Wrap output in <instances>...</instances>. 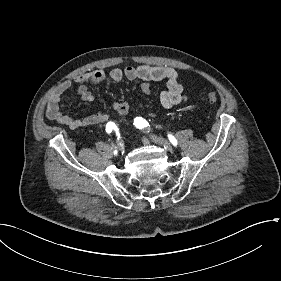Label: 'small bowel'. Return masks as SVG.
Here are the masks:
<instances>
[{"label": "small bowel", "instance_id": "c3829d8e", "mask_svg": "<svg viewBox=\"0 0 281 281\" xmlns=\"http://www.w3.org/2000/svg\"><path fill=\"white\" fill-rule=\"evenodd\" d=\"M106 77H109L115 82H120L123 79H139L142 81L141 90L145 94L151 92V82L165 80L167 90L161 94L160 103L166 109H170L186 99L183 86L179 82L178 72L172 67L129 65L124 68H113L108 72L103 69H98L63 81L48 103L47 117L70 129L106 124L110 120L108 113L99 112L83 118H76L66 113V106L62 101L63 94L75 84L76 91L80 98L84 102H93L95 100V94L89 90L88 86L91 84H98L105 80ZM113 110L119 116H125L128 113L129 106L125 102H116L113 104Z\"/></svg>", "mask_w": 281, "mask_h": 281}]
</instances>
